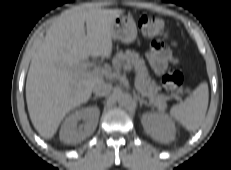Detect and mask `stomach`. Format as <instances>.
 Returning a JSON list of instances; mask_svg holds the SVG:
<instances>
[{
  "mask_svg": "<svg viewBox=\"0 0 231 170\" xmlns=\"http://www.w3.org/2000/svg\"><path fill=\"white\" fill-rule=\"evenodd\" d=\"M137 37V27L132 16H119L114 20L112 38L129 44Z\"/></svg>",
  "mask_w": 231,
  "mask_h": 170,
  "instance_id": "1",
  "label": "stomach"
}]
</instances>
